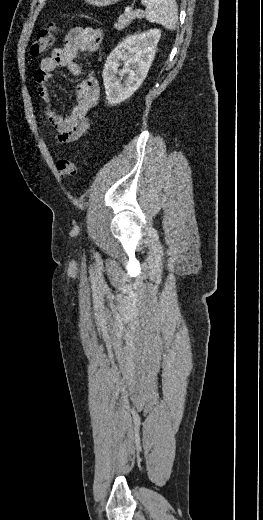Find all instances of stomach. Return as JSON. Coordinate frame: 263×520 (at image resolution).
<instances>
[{"label": "stomach", "mask_w": 263, "mask_h": 520, "mask_svg": "<svg viewBox=\"0 0 263 520\" xmlns=\"http://www.w3.org/2000/svg\"><path fill=\"white\" fill-rule=\"evenodd\" d=\"M120 0H85L86 3L96 7H106L112 5Z\"/></svg>", "instance_id": "0dacf381"}]
</instances>
